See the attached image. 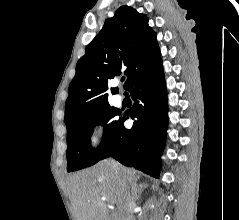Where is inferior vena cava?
Segmentation results:
<instances>
[{"instance_id": "obj_1", "label": "inferior vena cava", "mask_w": 239, "mask_h": 220, "mask_svg": "<svg viewBox=\"0 0 239 220\" xmlns=\"http://www.w3.org/2000/svg\"><path fill=\"white\" fill-rule=\"evenodd\" d=\"M109 165L113 168L115 172H119L120 167L114 159L108 160ZM122 196H123V211L122 220H135L133 216V210L135 208V202L133 197L130 195L129 187L125 182L122 183Z\"/></svg>"}]
</instances>
